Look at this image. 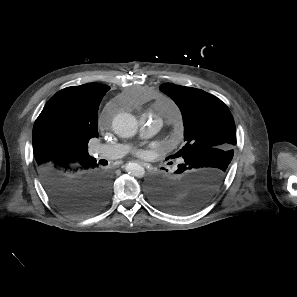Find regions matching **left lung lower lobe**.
<instances>
[{
	"label": "left lung lower lobe",
	"instance_id": "0a47b994",
	"mask_svg": "<svg viewBox=\"0 0 297 297\" xmlns=\"http://www.w3.org/2000/svg\"><path fill=\"white\" fill-rule=\"evenodd\" d=\"M174 177L151 180L148 193L159 208L177 214H188L202 208L218 191L223 178L215 172L189 171L178 165Z\"/></svg>",
	"mask_w": 297,
	"mask_h": 297
}]
</instances>
